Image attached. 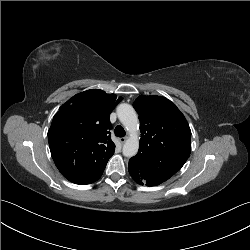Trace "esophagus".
Segmentation results:
<instances>
[{"label":"esophagus","mask_w":250,"mask_h":250,"mask_svg":"<svg viewBox=\"0 0 250 250\" xmlns=\"http://www.w3.org/2000/svg\"><path fill=\"white\" fill-rule=\"evenodd\" d=\"M126 140H127L126 137H121V138H119V142H120L121 144H124V143L126 142Z\"/></svg>","instance_id":"34e87169"}]
</instances>
